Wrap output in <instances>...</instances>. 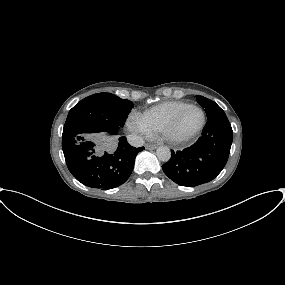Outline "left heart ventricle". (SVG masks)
Listing matches in <instances>:
<instances>
[{
    "instance_id": "1",
    "label": "left heart ventricle",
    "mask_w": 285,
    "mask_h": 285,
    "mask_svg": "<svg viewBox=\"0 0 285 285\" xmlns=\"http://www.w3.org/2000/svg\"><path fill=\"white\" fill-rule=\"evenodd\" d=\"M201 118V113L198 110H188L177 127L176 133L186 135L195 131L201 123Z\"/></svg>"
}]
</instances>
